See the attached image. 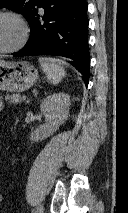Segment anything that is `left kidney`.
I'll list each match as a JSON object with an SVG mask.
<instances>
[{
	"label": "left kidney",
	"instance_id": "1",
	"mask_svg": "<svg viewBox=\"0 0 128 213\" xmlns=\"http://www.w3.org/2000/svg\"><path fill=\"white\" fill-rule=\"evenodd\" d=\"M41 112L47 119L31 135L30 140L36 142L54 134L59 126L68 118L70 109V96L66 93H54L43 100L40 105Z\"/></svg>",
	"mask_w": 128,
	"mask_h": 213
}]
</instances>
